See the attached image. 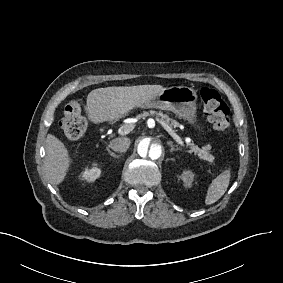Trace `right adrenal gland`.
Here are the masks:
<instances>
[{"label": "right adrenal gland", "instance_id": "2a0ac1e0", "mask_svg": "<svg viewBox=\"0 0 283 283\" xmlns=\"http://www.w3.org/2000/svg\"><path fill=\"white\" fill-rule=\"evenodd\" d=\"M107 151H108V153H109L112 157H114V158H118V157H119V156L116 155L114 152H112L109 148H107Z\"/></svg>", "mask_w": 283, "mask_h": 283}]
</instances>
